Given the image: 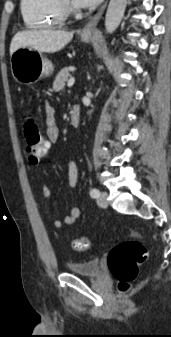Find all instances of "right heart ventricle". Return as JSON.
Listing matches in <instances>:
<instances>
[{
  "mask_svg": "<svg viewBox=\"0 0 171 337\" xmlns=\"http://www.w3.org/2000/svg\"><path fill=\"white\" fill-rule=\"evenodd\" d=\"M20 9L23 21L29 28L56 27L65 19L58 0H21Z\"/></svg>",
  "mask_w": 171,
  "mask_h": 337,
  "instance_id": "1",
  "label": "right heart ventricle"
}]
</instances>
